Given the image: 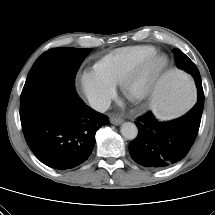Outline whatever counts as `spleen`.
Returning a JSON list of instances; mask_svg holds the SVG:
<instances>
[{
    "label": "spleen",
    "mask_w": 215,
    "mask_h": 215,
    "mask_svg": "<svg viewBox=\"0 0 215 215\" xmlns=\"http://www.w3.org/2000/svg\"><path fill=\"white\" fill-rule=\"evenodd\" d=\"M197 78L188 72H168L153 92V107L161 117L169 118L191 110L197 101Z\"/></svg>",
    "instance_id": "obj_1"
}]
</instances>
